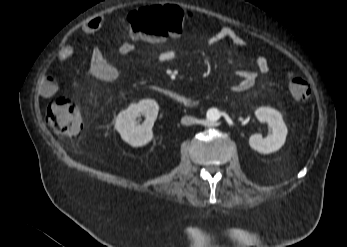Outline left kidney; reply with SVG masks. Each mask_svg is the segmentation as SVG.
Returning <instances> with one entry per match:
<instances>
[{"label":"left kidney","mask_w":347,"mask_h":247,"mask_svg":"<svg viewBox=\"0 0 347 247\" xmlns=\"http://www.w3.org/2000/svg\"><path fill=\"white\" fill-rule=\"evenodd\" d=\"M260 122H266L272 128V133L263 138L261 134H254L249 138V145L259 153L269 154L279 150L285 143L288 129L279 111L269 107H260L255 111Z\"/></svg>","instance_id":"left-kidney-1"}]
</instances>
